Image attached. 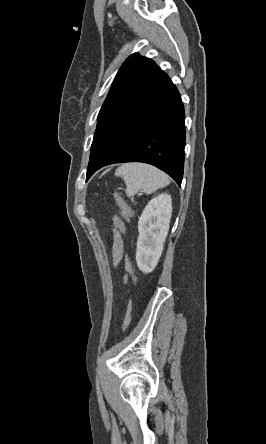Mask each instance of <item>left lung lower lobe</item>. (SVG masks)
Returning a JSON list of instances; mask_svg holds the SVG:
<instances>
[{
  "label": "left lung lower lobe",
  "instance_id": "1",
  "mask_svg": "<svg viewBox=\"0 0 266 444\" xmlns=\"http://www.w3.org/2000/svg\"><path fill=\"white\" fill-rule=\"evenodd\" d=\"M184 120L180 94L167 77L109 116L95 132L86 180L109 164L143 162L163 170L181 186Z\"/></svg>",
  "mask_w": 266,
  "mask_h": 444
}]
</instances>
